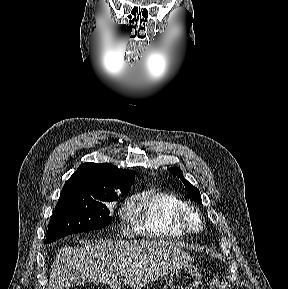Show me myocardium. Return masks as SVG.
<instances>
[{"instance_id":"1","label":"myocardium","mask_w":288,"mask_h":289,"mask_svg":"<svg viewBox=\"0 0 288 289\" xmlns=\"http://www.w3.org/2000/svg\"><path fill=\"white\" fill-rule=\"evenodd\" d=\"M186 227L192 232H198L205 228V221L201 211L193 206H188L182 213Z\"/></svg>"}]
</instances>
